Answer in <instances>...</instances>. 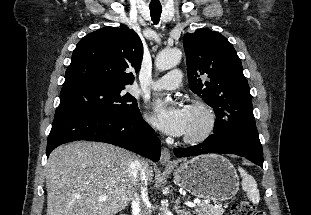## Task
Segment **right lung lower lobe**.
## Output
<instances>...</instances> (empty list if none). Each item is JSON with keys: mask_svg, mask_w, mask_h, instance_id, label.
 <instances>
[{"mask_svg": "<svg viewBox=\"0 0 311 215\" xmlns=\"http://www.w3.org/2000/svg\"><path fill=\"white\" fill-rule=\"evenodd\" d=\"M105 142L148 157L160 159V140L141 113L121 118L65 115L54 118L47 139V156L57 146L77 141Z\"/></svg>", "mask_w": 311, "mask_h": 215, "instance_id": "1", "label": "right lung lower lobe"}]
</instances>
